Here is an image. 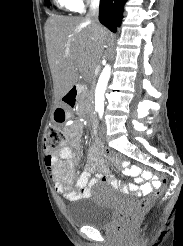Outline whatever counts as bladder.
I'll return each instance as SVG.
<instances>
[{"label": "bladder", "instance_id": "31cf9c89", "mask_svg": "<svg viewBox=\"0 0 183 246\" xmlns=\"http://www.w3.org/2000/svg\"><path fill=\"white\" fill-rule=\"evenodd\" d=\"M118 206V199L114 190L105 185L98 184L85 201L67 210L69 221L78 227L91 226L96 228L108 226Z\"/></svg>", "mask_w": 183, "mask_h": 246}]
</instances>
